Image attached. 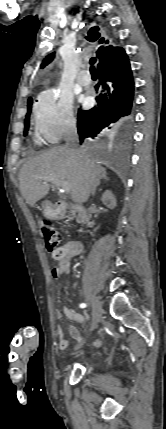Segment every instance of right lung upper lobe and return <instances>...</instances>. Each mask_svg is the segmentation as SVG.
<instances>
[{
  "instance_id": "right-lung-upper-lobe-1",
  "label": "right lung upper lobe",
  "mask_w": 166,
  "mask_h": 429,
  "mask_svg": "<svg viewBox=\"0 0 166 429\" xmlns=\"http://www.w3.org/2000/svg\"><path fill=\"white\" fill-rule=\"evenodd\" d=\"M97 30L91 29L88 33L87 39L89 41H96L100 34L96 32ZM100 44L104 43V45H101L98 50L96 51V55L99 61L104 59H109L111 57L120 56L124 51L122 47H117L113 45L112 43L109 44V40H104V38H101L99 40ZM54 58V53L49 54L46 56V58L43 60V63L41 64V67L44 68L46 65H48ZM32 98L30 97L28 101H30Z\"/></svg>"
}]
</instances>
